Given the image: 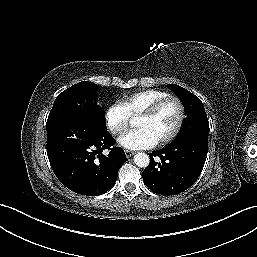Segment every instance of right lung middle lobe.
Segmentation results:
<instances>
[{
	"mask_svg": "<svg viewBox=\"0 0 257 257\" xmlns=\"http://www.w3.org/2000/svg\"><path fill=\"white\" fill-rule=\"evenodd\" d=\"M97 90L98 86L89 81L69 87L57 96L48 120L78 116L101 130H107L104 110L97 105Z\"/></svg>",
	"mask_w": 257,
	"mask_h": 257,
	"instance_id": "obj_1",
	"label": "right lung middle lobe"
}]
</instances>
